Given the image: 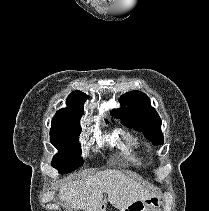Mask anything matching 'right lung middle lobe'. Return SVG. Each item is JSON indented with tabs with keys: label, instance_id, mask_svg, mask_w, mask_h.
I'll list each match as a JSON object with an SVG mask.
<instances>
[{
	"label": "right lung middle lobe",
	"instance_id": "obj_1",
	"mask_svg": "<svg viewBox=\"0 0 209 211\" xmlns=\"http://www.w3.org/2000/svg\"><path fill=\"white\" fill-rule=\"evenodd\" d=\"M80 126L51 127L50 141L58 149L51 165L60 173L71 172L83 165L81 148L78 142Z\"/></svg>",
	"mask_w": 209,
	"mask_h": 211
}]
</instances>
